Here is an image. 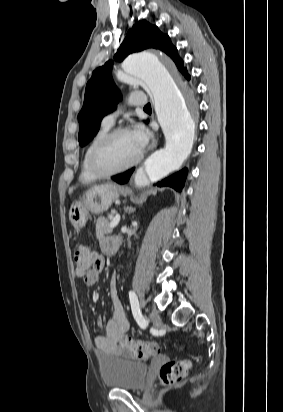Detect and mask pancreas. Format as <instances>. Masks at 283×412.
<instances>
[{
    "mask_svg": "<svg viewBox=\"0 0 283 412\" xmlns=\"http://www.w3.org/2000/svg\"><path fill=\"white\" fill-rule=\"evenodd\" d=\"M109 225L110 222L107 218H98L96 221V237L102 238L104 235L111 233L112 228Z\"/></svg>",
    "mask_w": 283,
    "mask_h": 412,
    "instance_id": "cf45deb5",
    "label": "pancreas"
}]
</instances>
